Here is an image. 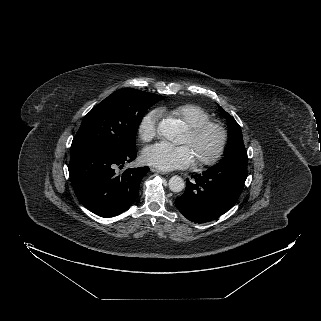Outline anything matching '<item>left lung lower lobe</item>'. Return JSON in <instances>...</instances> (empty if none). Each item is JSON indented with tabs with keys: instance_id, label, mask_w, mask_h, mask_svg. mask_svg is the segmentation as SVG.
<instances>
[{
	"instance_id": "0a47b994",
	"label": "left lung lower lobe",
	"mask_w": 321,
	"mask_h": 321,
	"mask_svg": "<svg viewBox=\"0 0 321 321\" xmlns=\"http://www.w3.org/2000/svg\"><path fill=\"white\" fill-rule=\"evenodd\" d=\"M192 178L175 205L188 220L205 223L220 217L237 202L247 178V159L221 161Z\"/></svg>"
}]
</instances>
